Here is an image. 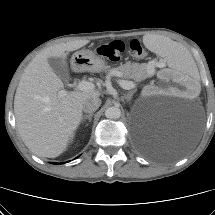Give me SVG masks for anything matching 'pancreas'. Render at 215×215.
Wrapping results in <instances>:
<instances>
[{"instance_id": "pancreas-1", "label": "pancreas", "mask_w": 215, "mask_h": 215, "mask_svg": "<svg viewBox=\"0 0 215 215\" xmlns=\"http://www.w3.org/2000/svg\"><path fill=\"white\" fill-rule=\"evenodd\" d=\"M141 68L143 69V67ZM116 73H120L121 76L126 80L134 79L135 81H140L141 79H143L136 75L135 70L133 69L130 63H126L123 65H120L119 67L112 68L109 70L110 75H114Z\"/></svg>"}]
</instances>
